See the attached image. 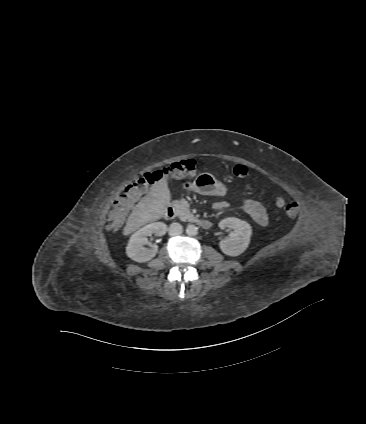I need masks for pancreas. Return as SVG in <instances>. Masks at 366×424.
<instances>
[{
  "mask_svg": "<svg viewBox=\"0 0 366 424\" xmlns=\"http://www.w3.org/2000/svg\"><path fill=\"white\" fill-rule=\"evenodd\" d=\"M176 207L181 220L194 221L195 217L190 212V205L185 199L176 202Z\"/></svg>",
  "mask_w": 366,
  "mask_h": 424,
  "instance_id": "pancreas-1",
  "label": "pancreas"
}]
</instances>
